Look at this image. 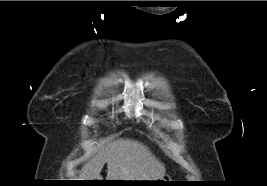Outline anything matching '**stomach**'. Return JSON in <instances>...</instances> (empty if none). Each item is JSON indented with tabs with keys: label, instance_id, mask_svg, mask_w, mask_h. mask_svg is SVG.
<instances>
[{
	"label": "stomach",
	"instance_id": "0dacf381",
	"mask_svg": "<svg viewBox=\"0 0 267 186\" xmlns=\"http://www.w3.org/2000/svg\"><path fill=\"white\" fill-rule=\"evenodd\" d=\"M167 178H169V176L168 175H164L161 179L155 180V181H171V180H166ZM154 183H161V182H154ZM154 185H159V184H154Z\"/></svg>",
	"mask_w": 267,
	"mask_h": 186
}]
</instances>
